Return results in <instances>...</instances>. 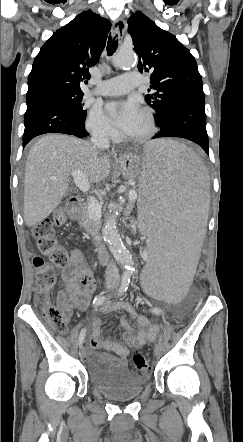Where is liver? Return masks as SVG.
Masks as SVG:
<instances>
[{
    "mask_svg": "<svg viewBox=\"0 0 243 442\" xmlns=\"http://www.w3.org/2000/svg\"><path fill=\"white\" fill-rule=\"evenodd\" d=\"M110 159L87 141L73 136L48 134L29 151L24 180V221L28 227L46 219L68 189L67 178L80 170L91 183L105 180ZM55 178V179H52Z\"/></svg>",
    "mask_w": 243,
    "mask_h": 442,
    "instance_id": "1",
    "label": "liver"
}]
</instances>
